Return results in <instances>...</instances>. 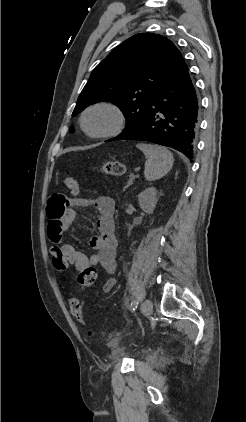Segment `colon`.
I'll use <instances>...</instances> for the list:
<instances>
[{"label": "colon", "instance_id": "1", "mask_svg": "<svg viewBox=\"0 0 246 422\" xmlns=\"http://www.w3.org/2000/svg\"><path fill=\"white\" fill-rule=\"evenodd\" d=\"M100 171L102 173L113 175V176H121L125 172V167L122 163L112 161L105 163L101 168ZM63 183L65 187L73 194H76L78 191V181L75 176L67 173L64 177ZM52 255V262L54 267L57 270L63 271L65 270L69 263L63 253L58 248H53L51 251ZM97 271L94 266L86 267L77 273V282L78 285L82 289L89 288L92 286L96 280ZM70 311L72 315L81 323L86 324L87 320L85 317V312L82 306V303L77 298H70L69 300ZM89 334L91 335L93 331L90 329Z\"/></svg>", "mask_w": 246, "mask_h": 422}]
</instances>
